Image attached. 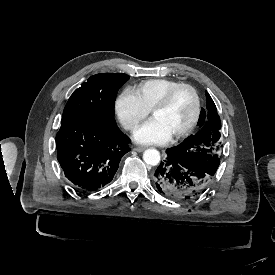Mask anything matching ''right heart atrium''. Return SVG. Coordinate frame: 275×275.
<instances>
[{
    "instance_id": "right-heart-atrium-1",
    "label": "right heart atrium",
    "mask_w": 275,
    "mask_h": 275,
    "mask_svg": "<svg viewBox=\"0 0 275 275\" xmlns=\"http://www.w3.org/2000/svg\"><path fill=\"white\" fill-rule=\"evenodd\" d=\"M115 108L120 122L128 131H134L149 115V110L130 89L120 94Z\"/></svg>"
}]
</instances>
